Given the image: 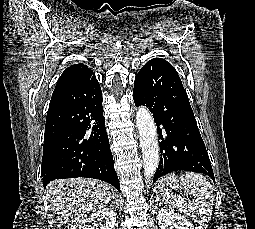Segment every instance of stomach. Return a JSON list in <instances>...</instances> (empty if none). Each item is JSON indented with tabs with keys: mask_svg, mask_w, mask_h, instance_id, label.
Masks as SVG:
<instances>
[{
	"mask_svg": "<svg viewBox=\"0 0 255 229\" xmlns=\"http://www.w3.org/2000/svg\"><path fill=\"white\" fill-rule=\"evenodd\" d=\"M181 186L182 184L175 174H171L162 178L158 183V187L161 190L171 193H173V191H177Z\"/></svg>",
	"mask_w": 255,
	"mask_h": 229,
	"instance_id": "obj_1",
	"label": "stomach"
}]
</instances>
